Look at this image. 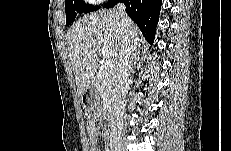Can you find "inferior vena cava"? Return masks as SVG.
<instances>
[{"label": "inferior vena cava", "instance_id": "obj_1", "mask_svg": "<svg viewBox=\"0 0 231 151\" xmlns=\"http://www.w3.org/2000/svg\"><path fill=\"white\" fill-rule=\"evenodd\" d=\"M117 15L120 18L125 32L127 40L125 43L124 53L121 57L120 64L117 68L114 79V102L112 105L110 124V145L114 146L121 141V133L123 126V115L126 106V92L128 90V77L131 70V61L133 58V42L131 38V32L128 27L130 19L126 14V7L124 4L119 3L116 6Z\"/></svg>", "mask_w": 231, "mask_h": 151}]
</instances>
